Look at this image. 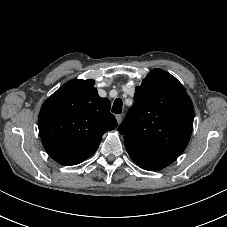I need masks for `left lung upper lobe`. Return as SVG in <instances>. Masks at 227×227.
Returning a JSON list of instances; mask_svg holds the SVG:
<instances>
[{
    "mask_svg": "<svg viewBox=\"0 0 227 227\" xmlns=\"http://www.w3.org/2000/svg\"><path fill=\"white\" fill-rule=\"evenodd\" d=\"M193 120V104L181 83L155 69L136 87L134 104L118 130L132 160L143 169L158 171L185 150Z\"/></svg>",
    "mask_w": 227,
    "mask_h": 227,
    "instance_id": "5c2ea615",
    "label": "left lung upper lobe"
}]
</instances>
